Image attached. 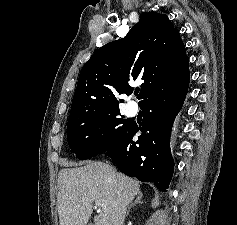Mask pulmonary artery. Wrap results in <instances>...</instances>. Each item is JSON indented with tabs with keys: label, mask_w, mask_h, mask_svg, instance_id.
Listing matches in <instances>:
<instances>
[{
	"label": "pulmonary artery",
	"mask_w": 237,
	"mask_h": 225,
	"mask_svg": "<svg viewBox=\"0 0 237 225\" xmlns=\"http://www.w3.org/2000/svg\"><path fill=\"white\" fill-rule=\"evenodd\" d=\"M138 106L134 101H129L126 106V112L128 115H134L137 112Z\"/></svg>",
	"instance_id": "pulmonary-artery-1"
}]
</instances>
